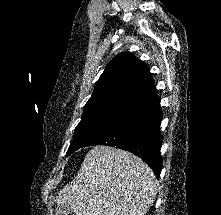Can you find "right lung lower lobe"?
Listing matches in <instances>:
<instances>
[{"label": "right lung lower lobe", "instance_id": "98d812e1", "mask_svg": "<svg viewBox=\"0 0 221 215\" xmlns=\"http://www.w3.org/2000/svg\"><path fill=\"white\" fill-rule=\"evenodd\" d=\"M162 111L159 97L121 117L106 131L88 142L86 146L107 145L134 153L160 177L162 136L160 124Z\"/></svg>", "mask_w": 221, "mask_h": 215}]
</instances>
